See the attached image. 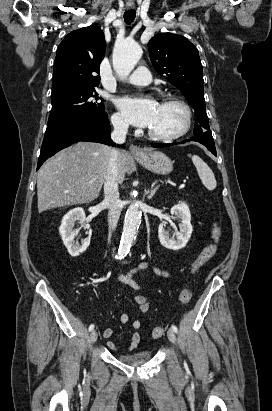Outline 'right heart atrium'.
<instances>
[{
	"mask_svg": "<svg viewBox=\"0 0 272 411\" xmlns=\"http://www.w3.org/2000/svg\"><path fill=\"white\" fill-rule=\"evenodd\" d=\"M112 123L118 129H123L127 126L125 119L120 113H115L112 116Z\"/></svg>",
	"mask_w": 272,
	"mask_h": 411,
	"instance_id": "right-heart-atrium-1",
	"label": "right heart atrium"
}]
</instances>
